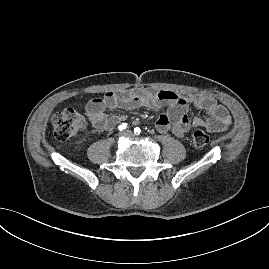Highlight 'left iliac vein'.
<instances>
[{
    "instance_id": "left-iliac-vein-1",
    "label": "left iliac vein",
    "mask_w": 269,
    "mask_h": 269,
    "mask_svg": "<svg viewBox=\"0 0 269 269\" xmlns=\"http://www.w3.org/2000/svg\"><path fill=\"white\" fill-rule=\"evenodd\" d=\"M124 135L128 136V137H133L134 136L133 132H131V131L124 132Z\"/></svg>"
}]
</instances>
